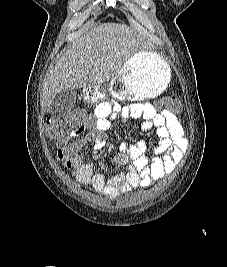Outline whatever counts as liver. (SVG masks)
<instances>
[{"label": "liver", "mask_w": 227, "mask_h": 267, "mask_svg": "<svg viewBox=\"0 0 227 267\" xmlns=\"http://www.w3.org/2000/svg\"><path fill=\"white\" fill-rule=\"evenodd\" d=\"M143 37L126 24H99L79 37L47 74L41 97L46 112L54 96L65 89L110 81L136 53L145 50Z\"/></svg>", "instance_id": "1"}]
</instances>
